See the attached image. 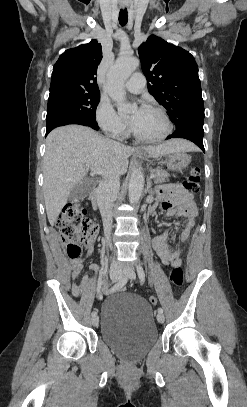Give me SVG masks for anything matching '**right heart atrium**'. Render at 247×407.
<instances>
[{"label":"right heart atrium","mask_w":247,"mask_h":407,"mask_svg":"<svg viewBox=\"0 0 247 407\" xmlns=\"http://www.w3.org/2000/svg\"><path fill=\"white\" fill-rule=\"evenodd\" d=\"M95 120L98 126L113 138H123L127 131L126 122L115 111L112 104L101 98L95 109Z\"/></svg>","instance_id":"d8ad5b80"}]
</instances>
